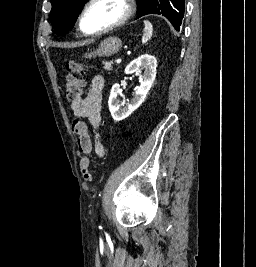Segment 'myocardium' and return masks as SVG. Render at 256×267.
Returning <instances> with one entry per match:
<instances>
[{"label":"myocardium","instance_id":"myocardium-1","mask_svg":"<svg viewBox=\"0 0 256 267\" xmlns=\"http://www.w3.org/2000/svg\"><path fill=\"white\" fill-rule=\"evenodd\" d=\"M103 1H112L114 2L115 4H117L122 10H123V15L122 17L116 21L115 23H113L112 25H110L108 28L102 30V31H99V32H94V33H89V32H86L84 29H83V26H82V19H83V15L84 13L92 6L94 5L95 3H98V2H103ZM132 14V7L130 6L129 3H127L125 0H90L88 3H86L78 12V15H77V25H78V29L79 31L85 35V36H89V37H98V36H102V35H105L107 33H109L110 31L114 30L115 28L123 25L127 19L131 16Z\"/></svg>","mask_w":256,"mask_h":267}]
</instances>
